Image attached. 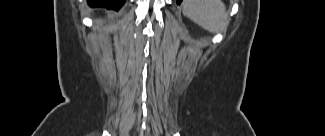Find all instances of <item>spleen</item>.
Returning a JSON list of instances; mask_svg holds the SVG:
<instances>
[{"mask_svg": "<svg viewBox=\"0 0 325 136\" xmlns=\"http://www.w3.org/2000/svg\"><path fill=\"white\" fill-rule=\"evenodd\" d=\"M183 13L201 28L218 32L228 22L224 4L219 0H185Z\"/></svg>", "mask_w": 325, "mask_h": 136, "instance_id": "spleen-1", "label": "spleen"}]
</instances>
